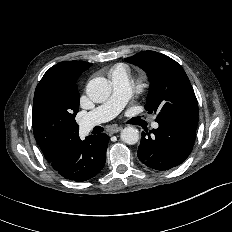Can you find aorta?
<instances>
[{"mask_svg": "<svg viewBox=\"0 0 232 232\" xmlns=\"http://www.w3.org/2000/svg\"><path fill=\"white\" fill-rule=\"evenodd\" d=\"M111 91V85L104 77L93 78L89 81L86 87L88 97L95 103L106 101L109 98ZM120 138L126 144H136L139 140V131L131 126L125 127L121 131Z\"/></svg>", "mask_w": 232, "mask_h": 232, "instance_id": "aorta-1", "label": "aorta"}]
</instances>
